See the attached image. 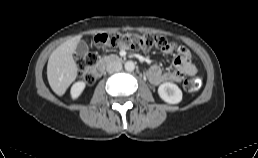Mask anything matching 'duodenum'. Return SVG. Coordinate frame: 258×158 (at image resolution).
Returning a JSON list of instances; mask_svg holds the SVG:
<instances>
[{"mask_svg":"<svg viewBox=\"0 0 258 158\" xmlns=\"http://www.w3.org/2000/svg\"><path fill=\"white\" fill-rule=\"evenodd\" d=\"M123 60H124L123 56L108 57V58L102 60L101 62H99L98 64H96L94 67H92L90 74H91L92 78H94V79L98 78L103 74V72L105 71V69L108 65L116 64Z\"/></svg>","mask_w":258,"mask_h":158,"instance_id":"1","label":"duodenum"}]
</instances>
